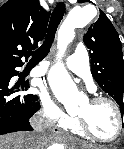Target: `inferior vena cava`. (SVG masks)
I'll return each mask as SVG.
<instances>
[{
  "label": "inferior vena cava",
  "mask_w": 124,
  "mask_h": 149,
  "mask_svg": "<svg viewBox=\"0 0 124 149\" xmlns=\"http://www.w3.org/2000/svg\"><path fill=\"white\" fill-rule=\"evenodd\" d=\"M30 124L37 132L36 134H31L30 140H32V142H30V145H37V139L41 137L39 133L42 132L45 127L44 115H42V113L35 114L30 120ZM29 149H36V146H29Z\"/></svg>",
  "instance_id": "602c4592"
}]
</instances>
